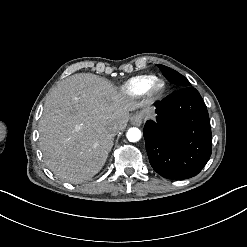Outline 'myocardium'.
I'll use <instances>...</instances> for the list:
<instances>
[{"instance_id":"f54148a6","label":"myocardium","mask_w":247,"mask_h":247,"mask_svg":"<svg viewBox=\"0 0 247 247\" xmlns=\"http://www.w3.org/2000/svg\"><path fill=\"white\" fill-rule=\"evenodd\" d=\"M165 82L162 79H154L151 81L145 89V100L152 101L160 98L165 92Z\"/></svg>"}]
</instances>
